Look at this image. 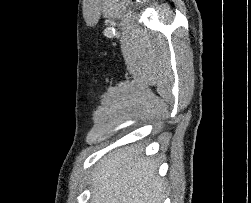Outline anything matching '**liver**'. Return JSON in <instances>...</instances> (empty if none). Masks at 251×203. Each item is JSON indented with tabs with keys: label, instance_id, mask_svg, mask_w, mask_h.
I'll use <instances>...</instances> for the list:
<instances>
[{
	"label": "liver",
	"instance_id": "6515ba94",
	"mask_svg": "<svg viewBox=\"0 0 251 203\" xmlns=\"http://www.w3.org/2000/svg\"><path fill=\"white\" fill-rule=\"evenodd\" d=\"M142 151L126 146L100 161L92 179L91 203H162L157 165Z\"/></svg>",
	"mask_w": 251,
	"mask_h": 203
}]
</instances>
